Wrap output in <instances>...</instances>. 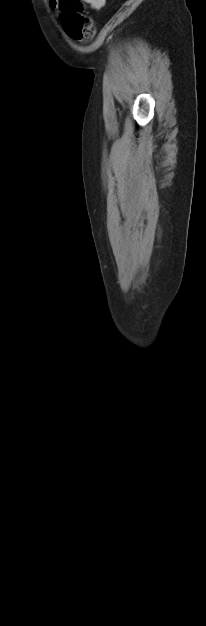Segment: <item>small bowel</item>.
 <instances>
[{"label": "small bowel", "instance_id": "obj_1", "mask_svg": "<svg viewBox=\"0 0 206 626\" xmlns=\"http://www.w3.org/2000/svg\"><path fill=\"white\" fill-rule=\"evenodd\" d=\"M83 1L89 4L95 10L102 9L106 2V0H83ZM49 4L51 8L55 10L59 9V0H49Z\"/></svg>", "mask_w": 206, "mask_h": 626}]
</instances>
